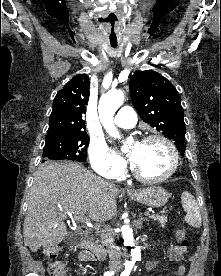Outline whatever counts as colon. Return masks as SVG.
I'll return each instance as SVG.
<instances>
[{
    "label": "colon",
    "instance_id": "5ec220e1",
    "mask_svg": "<svg viewBox=\"0 0 221 276\" xmlns=\"http://www.w3.org/2000/svg\"><path fill=\"white\" fill-rule=\"evenodd\" d=\"M177 246L182 248H187L189 246V241L187 239L186 230L184 228H179L175 232ZM57 246H45L43 248V253L48 257V272L50 276H66L67 275V263L63 260L56 259L58 255Z\"/></svg>",
    "mask_w": 221,
    "mask_h": 276
}]
</instances>
